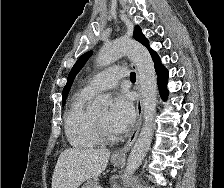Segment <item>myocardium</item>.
<instances>
[{
    "label": "myocardium",
    "mask_w": 224,
    "mask_h": 188,
    "mask_svg": "<svg viewBox=\"0 0 224 188\" xmlns=\"http://www.w3.org/2000/svg\"><path fill=\"white\" fill-rule=\"evenodd\" d=\"M93 126L100 141L114 142L118 139L117 134L110 133L105 126L98 120L96 115H93Z\"/></svg>",
    "instance_id": "obj_1"
}]
</instances>
